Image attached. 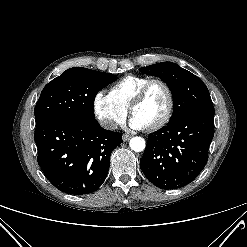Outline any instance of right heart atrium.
<instances>
[{
    "label": "right heart atrium",
    "mask_w": 247,
    "mask_h": 247,
    "mask_svg": "<svg viewBox=\"0 0 247 247\" xmlns=\"http://www.w3.org/2000/svg\"><path fill=\"white\" fill-rule=\"evenodd\" d=\"M93 111L100 122L106 128L113 130L122 124L128 113V109L117 103L110 93L98 91L93 98Z\"/></svg>",
    "instance_id": "d8ad5b80"
}]
</instances>
